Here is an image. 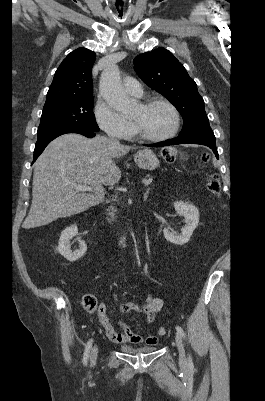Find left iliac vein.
Returning <instances> with one entry per match:
<instances>
[{"label": "left iliac vein", "instance_id": "1", "mask_svg": "<svg viewBox=\"0 0 265 401\" xmlns=\"http://www.w3.org/2000/svg\"><path fill=\"white\" fill-rule=\"evenodd\" d=\"M175 342L179 350L180 363L186 365V354H185L184 344L179 333H176Z\"/></svg>", "mask_w": 265, "mask_h": 401}]
</instances>
